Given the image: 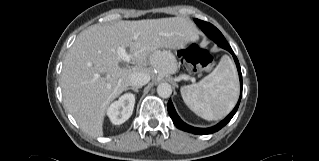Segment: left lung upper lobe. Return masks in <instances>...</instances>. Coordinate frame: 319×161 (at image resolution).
I'll use <instances>...</instances> for the list:
<instances>
[{
  "label": "left lung upper lobe",
  "mask_w": 319,
  "mask_h": 161,
  "mask_svg": "<svg viewBox=\"0 0 319 161\" xmlns=\"http://www.w3.org/2000/svg\"><path fill=\"white\" fill-rule=\"evenodd\" d=\"M196 24L198 25V23H202L206 26V28H208L209 30H211L213 32V34L215 35V37H210V39H212L213 41H215L220 47H222V45L228 44L227 41L225 40L224 36L222 35V33L212 24L208 23V22H204L202 20L199 19H195Z\"/></svg>",
  "instance_id": "obj_1"
}]
</instances>
